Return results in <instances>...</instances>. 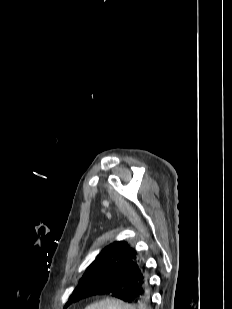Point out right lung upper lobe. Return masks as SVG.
Here are the masks:
<instances>
[{"label": "right lung upper lobe", "instance_id": "right-lung-upper-lobe-1", "mask_svg": "<svg viewBox=\"0 0 232 309\" xmlns=\"http://www.w3.org/2000/svg\"><path fill=\"white\" fill-rule=\"evenodd\" d=\"M129 262H137V252L125 241H116L101 250L84 275L98 271L116 272L121 264Z\"/></svg>", "mask_w": 232, "mask_h": 309}]
</instances>
